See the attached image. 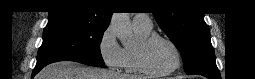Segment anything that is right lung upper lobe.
Returning <instances> with one entry per match:
<instances>
[{
    "label": "right lung upper lobe",
    "instance_id": "obj_1",
    "mask_svg": "<svg viewBox=\"0 0 255 79\" xmlns=\"http://www.w3.org/2000/svg\"><path fill=\"white\" fill-rule=\"evenodd\" d=\"M106 6L99 0H63L49 12V22H69L107 28L112 12H102Z\"/></svg>",
    "mask_w": 255,
    "mask_h": 79
}]
</instances>
